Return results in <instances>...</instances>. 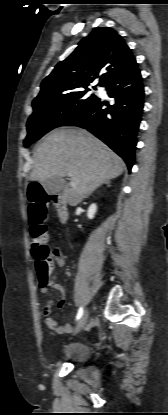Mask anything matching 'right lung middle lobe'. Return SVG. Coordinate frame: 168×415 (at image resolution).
Segmentation results:
<instances>
[{"mask_svg":"<svg viewBox=\"0 0 168 415\" xmlns=\"http://www.w3.org/2000/svg\"><path fill=\"white\" fill-rule=\"evenodd\" d=\"M88 91H77L33 106V114L27 122L28 135L24 146L29 147L50 130L64 126L91 108L99 98L93 94L87 95Z\"/></svg>","mask_w":168,"mask_h":415,"instance_id":"obj_1","label":"right lung middle lobe"}]
</instances>
